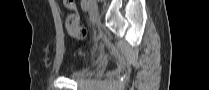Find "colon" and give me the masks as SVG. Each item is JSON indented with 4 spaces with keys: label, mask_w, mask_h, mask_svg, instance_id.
<instances>
[{
    "label": "colon",
    "mask_w": 209,
    "mask_h": 90,
    "mask_svg": "<svg viewBox=\"0 0 209 90\" xmlns=\"http://www.w3.org/2000/svg\"><path fill=\"white\" fill-rule=\"evenodd\" d=\"M64 2L69 9H74L75 4L73 0H64ZM65 27L70 36L75 39H84L87 35V30L81 25L80 17L77 13L73 12L67 17Z\"/></svg>",
    "instance_id": "5ec220e1"
}]
</instances>
